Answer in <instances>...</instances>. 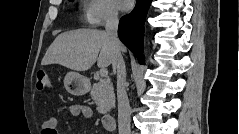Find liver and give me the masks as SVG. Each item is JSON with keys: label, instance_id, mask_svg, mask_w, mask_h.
<instances>
[{"label": "liver", "instance_id": "obj_1", "mask_svg": "<svg viewBox=\"0 0 239 134\" xmlns=\"http://www.w3.org/2000/svg\"><path fill=\"white\" fill-rule=\"evenodd\" d=\"M125 48L121 45L120 52ZM115 60V49L103 30L78 29L58 35L46 51L42 65L59 64L75 71H86L95 62L100 68Z\"/></svg>", "mask_w": 239, "mask_h": 134}]
</instances>
